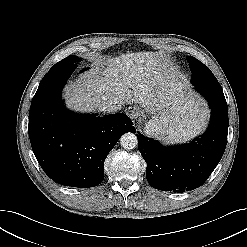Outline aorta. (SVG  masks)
<instances>
[{"label":"aorta","mask_w":247,"mask_h":247,"mask_svg":"<svg viewBox=\"0 0 247 247\" xmlns=\"http://www.w3.org/2000/svg\"><path fill=\"white\" fill-rule=\"evenodd\" d=\"M138 140L134 133L128 132L121 136L120 144L124 149H134L137 146Z\"/></svg>","instance_id":"762f6f07"}]
</instances>
